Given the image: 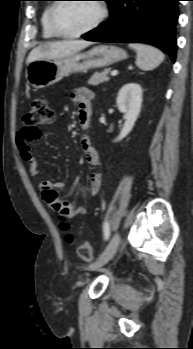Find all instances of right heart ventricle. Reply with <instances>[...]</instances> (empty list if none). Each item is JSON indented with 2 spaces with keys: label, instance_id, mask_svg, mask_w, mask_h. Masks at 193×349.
I'll return each instance as SVG.
<instances>
[{
  "label": "right heart ventricle",
  "instance_id": "1",
  "mask_svg": "<svg viewBox=\"0 0 193 349\" xmlns=\"http://www.w3.org/2000/svg\"><path fill=\"white\" fill-rule=\"evenodd\" d=\"M53 4H48L42 14H41V18H40V23H41V28H42V35L45 39H52L54 37H56L52 31L50 30L49 28V25H48V14H49V11L51 9Z\"/></svg>",
  "mask_w": 193,
  "mask_h": 349
}]
</instances>
